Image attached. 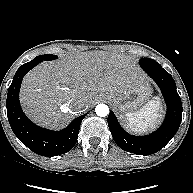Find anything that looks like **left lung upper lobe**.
<instances>
[{
  "instance_id": "1",
  "label": "left lung upper lobe",
  "mask_w": 193,
  "mask_h": 193,
  "mask_svg": "<svg viewBox=\"0 0 193 193\" xmlns=\"http://www.w3.org/2000/svg\"><path fill=\"white\" fill-rule=\"evenodd\" d=\"M150 58H142V59H140V62H143V61H146V60H149ZM139 62V63H140Z\"/></svg>"
}]
</instances>
